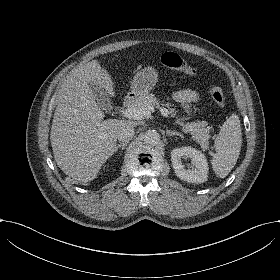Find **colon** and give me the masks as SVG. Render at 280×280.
I'll list each match as a JSON object with an SVG mask.
<instances>
[{
	"instance_id": "5ec220e1",
	"label": "colon",
	"mask_w": 280,
	"mask_h": 280,
	"mask_svg": "<svg viewBox=\"0 0 280 280\" xmlns=\"http://www.w3.org/2000/svg\"><path fill=\"white\" fill-rule=\"evenodd\" d=\"M164 61L172 68H176L179 71H183L188 75H191L195 72L196 66L193 62L185 60L182 57H177L173 52L168 51L163 56ZM211 97L213 101L219 105L224 106L225 104V95L221 88L213 87L210 90Z\"/></svg>"
}]
</instances>
